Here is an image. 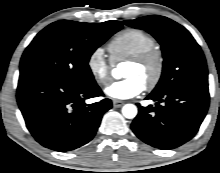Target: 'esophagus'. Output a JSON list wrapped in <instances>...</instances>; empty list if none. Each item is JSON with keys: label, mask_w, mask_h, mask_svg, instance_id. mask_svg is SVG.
Masks as SVG:
<instances>
[{"label": "esophagus", "mask_w": 220, "mask_h": 173, "mask_svg": "<svg viewBox=\"0 0 220 173\" xmlns=\"http://www.w3.org/2000/svg\"><path fill=\"white\" fill-rule=\"evenodd\" d=\"M122 105H124V102H123V101L116 100V99L113 100V106H114L115 108H119V107H121Z\"/></svg>", "instance_id": "obj_1"}]
</instances>
